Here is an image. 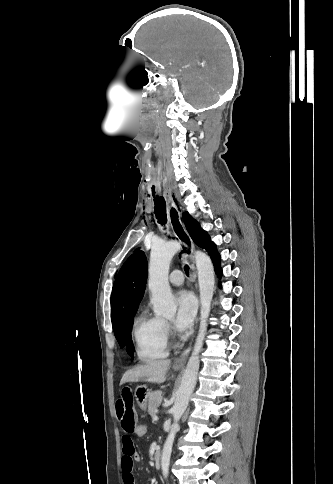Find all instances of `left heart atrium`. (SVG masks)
I'll return each mask as SVG.
<instances>
[{
    "mask_svg": "<svg viewBox=\"0 0 333 484\" xmlns=\"http://www.w3.org/2000/svg\"><path fill=\"white\" fill-rule=\"evenodd\" d=\"M176 305L175 325L177 329L184 331L191 326L194 320L197 303L190 292L182 290L176 294Z\"/></svg>",
    "mask_w": 333,
    "mask_h": 484,
    "instance_id": "1",
    "label": "left heart atrium"
}]
</instances>
